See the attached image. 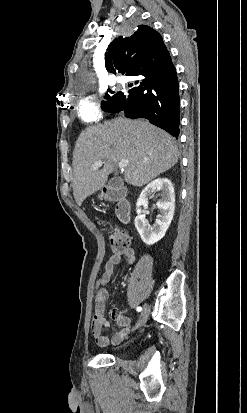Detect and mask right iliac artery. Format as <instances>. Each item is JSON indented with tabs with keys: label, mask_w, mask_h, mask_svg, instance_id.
I'll return each mask as SVG.
<instances>
[{
	"label": "right iliac artery",
	"mask_w": 247,
	"mask_h": 413,
	"mask_svg": "<svg viewBox=\"0 0 247 413\" xmlns=\"http://www.w3.org/2000/svg\"><path fill=\"white\" fill-rule=\"evenodd\" d=\"M142 310V307H137V311L140 312Z\"/></svg>",
	"instance_id": "obj_1"
}]
</instances>
